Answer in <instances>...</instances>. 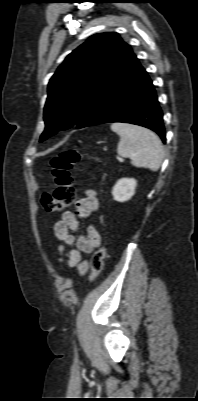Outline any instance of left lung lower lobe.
I'll use <instances>...</instances> for the list:
<instances>
[{"label":"left lung lower lobe","instance_id":"left-lung-lower-lobe-1","mask_svg":"<svg viewBox=\"0 0 198 401\" xmlns=\"http://www.w3.org/2000/svg\"><path fill=\"white\" fill-rule=\"evenodd\" d=\"M110 122L144 126L166 140L154 86L133 52L92 100L76 127Z\"/></svg>","mask_w":198,"mask_h":401}]
</instances>
